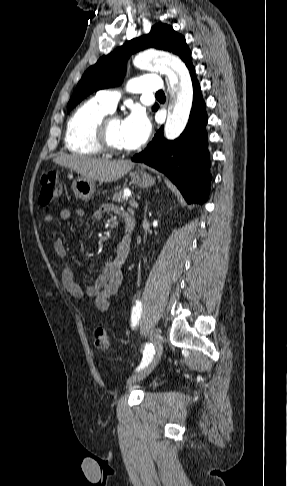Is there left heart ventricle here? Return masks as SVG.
<instances>
[{
    "label": "left heart ventricle",
    "instance_id": "left-heart-ventricle-1",
    "mask_svg": "<svg viewBox=\"0 0 287 486\" xmlns=\"http://www.w3.org/2000/svg\"><path fill=\"white\" fill-rule=\"evenodd\" d=\"M108 136L111 144L118 148L126 149L122 129V120L114 119L110 122Z\"/></svg>",
    "mask_w": 287,
    "mask_h": 486
}]
</instances>
